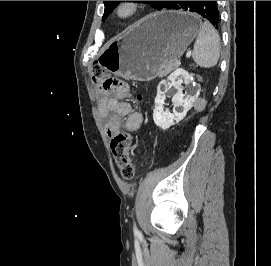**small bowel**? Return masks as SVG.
<instances>
[{
  "label": "small bowel",
  "instance_id": "c3829d8e",
  "mask_svg": "<svg viewBox=\"0 0 271 266\" xmlns=\"http://www.w3.org/2000/svg\"><path fill=\"white\" fill-rule=\"evenodd\" d=\"M102 117L106 119L105 131L108 136L115 135L123 126L129 132H136L143 123V116L132 105L120 97L104 95L98 103ZM122 119L123 122H122Z\"/></svg>",
  "mask_w": 271,
  "mask_h": 266
}]
</instances>
